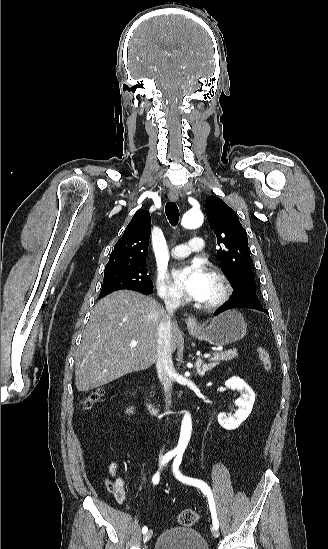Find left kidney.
Segmentation results:
<instances>
[{
  "instance_id": "5707ae66",
  "label": "left kidney",
  "mask_w": 328,
  "mask_h": 549,
  "mask_svg": "<svg viewBox=\"0 0 328 549\" xmlns=\"http://www.w3.org/2000/svg\"><path fill=\"white\" fill-rule=\"evenodd\" d=\"M225 385L226 387H229V389H236V391L241 393L239 399H236L235 401L238 411H236L234 415H230V417H227L226 413H219L218 415L219 425L224 427V429H229V431H231V429H237V427L249 417L255 401V393H253L252 389H250L240 377H231V379L225 381Z\"/></svg>"
}]
</instances>
